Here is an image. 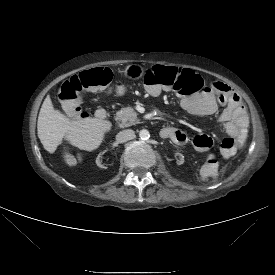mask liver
Masks as SVG:
<instances>
[{
  "label": "liver",
  "instance_id": "obj_1",
  "mask_svg": "<svg viewBox=\"0 0 275 275\" xmlns=\"http://www.w3.org/2000/svg\"><path fill=\"white\" fill-rule=\"evenodd\" d=\"M111 126L108 120L91 117L71 121L54 109L50 96H47L39 112L37 131L44 149L49 153H54L63 139L81 150L93 151L101 145Z\"/></svg>",
  "mask_w": 275,
  "mask_h": 275
}]
</instances>
